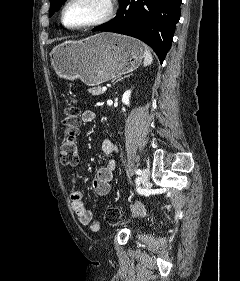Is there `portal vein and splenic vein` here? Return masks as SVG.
Instances as JSON below:
<instances>
[{
  "instance_id": "portal-vein-and-splenic-vein-1",
  "label": "portal vein and splenic vein",
  "mask_w": 240,
  "mask_h": 281,
  "mask_svg": "<svg viewBox=\"0 0 240 281\" xmlns=\"http://www.w3.org/2000/svg\"><path fill=\"white\" fill-rule=\"evenodd\" d=\"M106 90H107L106 86L102 87V91H106Z\"/></svg>"
}]
</instances>
